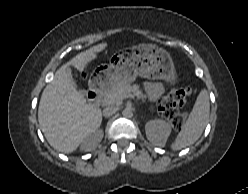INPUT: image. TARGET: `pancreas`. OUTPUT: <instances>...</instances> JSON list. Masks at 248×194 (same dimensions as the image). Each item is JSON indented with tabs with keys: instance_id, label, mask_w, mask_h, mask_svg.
<instances>
[{
	"instance_id": "obj_1",
	"label": "pancreas",
	"mask_w": 248,
	"mask_h": 194,
	"mask_svg": "<svg viewBox=\"0 0 248 194\" xmlns=\"http://www.w3.org/2000/svg\"><path fill=\"white\" fill-rule=\"evenodd\" d=\"M133 93L136 95L139 99H142L145 101V96L143 95L142 91L140 90L139 85H133L130 84H118L113 86L110 90H108L104 97H103V103L105 105H119L122 103L124 99L125 94ZM150 110H153L151 107Z\"/></svg>"
}]
</instances>
